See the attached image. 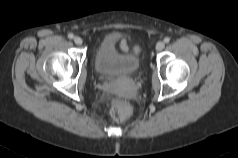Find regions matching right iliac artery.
<instances>
[{
  "mask_svg": "<svg viewBox=\"0 0 238 158\" xmlns=\"http://www.w3.org/2000/svg\"><path fill=\"white\" fill-rule=\"evenodd\" d=\"M74 35L72 33L68 34L69 39H73Z\"/></svg>",
  "mask_w": 238,
  "mask_h": 158,
  "instance_id": "obj_1",
  "label": "right iliac artery"
}]
</instances>
